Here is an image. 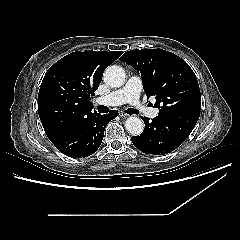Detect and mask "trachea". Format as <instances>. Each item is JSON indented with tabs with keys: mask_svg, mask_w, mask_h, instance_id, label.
I'll return each mask as SVG.
<instances>
[{
	"mask_svg": "<svg viewBox=\"0 0 240 240\" xmlns=\"http://www.w3.org/2000/svg\"><path fill=\"white\" fill-rule=\"evenodd\" d=\"M98 112L99 113H108V111H109V109H108V107H106V106H98ZM127 114H138V111L136 110V109H133V108H129V109H127Z\"/></svg>",
	"mask_w": 240,
	"mask_h": 240,
	"instance_id": "1",
	"label": "trachea"
}]
</instances>
